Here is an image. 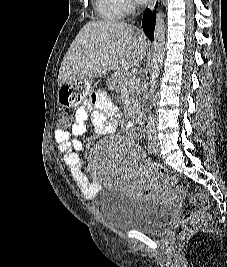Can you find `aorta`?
I'll return each instance as SVG.
<instances>
[{
  "label": "aorta",
  "instance_id": "1",
  "mask_svg": "<svg viewBox=\"0 0 227 267\" xmlns=\"http://www.w3.org/2000/svg\"><path fill=\"white\" fill-rule=\"evenodd\" d=\"M165 22L164 13L159 9L156 17L153 41V66L151 72L150 88L148 93L149 102L155 101L156 82L159 77L165 54ZM151 108V107H150ZM150 109H148L149 111Z\"/></svg>",
  "mask_w": 227,
  "mask_h": 267
}]
</instances>
